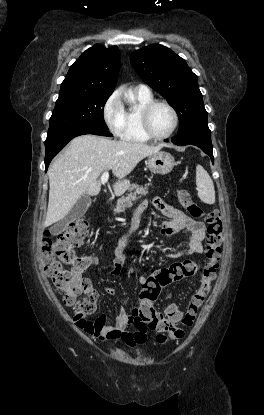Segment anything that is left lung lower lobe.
<instances>
[{"mask_svg":"<svg viewBox=\"0 0 264 415\" xmlns=\"http://www.w3.org/2000/svg\"><path fill=\"white\" fill-rule=\"evenodd\" d=\"M168 142V140H165ZM171 142L178 146L195 145L203 150L214 163L211 131L208 124L197 125L171 138Z\"/></svg>","mask_w":264,"mask_h":415,"instance_id":"1","label":"left lung lower lobe"}]
</instances>
